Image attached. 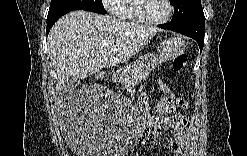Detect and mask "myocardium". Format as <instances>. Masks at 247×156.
Returning <instances> with one entry per match:
<instances>
[{
	"instance_id": "f54148a6",
	"label": "myocardium",
	"mask_w": 247,
	"mask_h": 156,
	"mask_svg": "<svg viewBox=\"0 0 247 156\" xmlns=\"http://www.w3.org/2000/svg\"><path fill=\"white\" fill-rule=\"evenodd\" d=\"M166 7L167 13L162 18H147L140 14L139 12V0L131 1L130 10L131 15L134 20L146 24V25H161L167 23L173 15V6L169 0H163Z\"/></svg>"
}]
</instances>
